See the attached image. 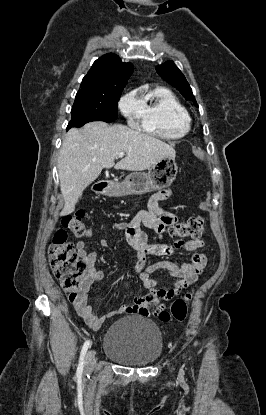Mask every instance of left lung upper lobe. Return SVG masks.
<instances>
[{
  "label": "left lung upper lobe",
  "mask_w": 266,
  "mask_h": 415,
  "mask_svg": "<svg viewBox=\"0 0 266 415\" xmlns=\"http://www.w3.org/2000/svg\"><path fill=\"white\" fill-rule=\"evenodd\" d=\"M156 71L166 82L171 84L177 90H179L186 100L193 101L198 107L195 97L192 93V89L187 82L183 73L176 67L172 61H167L164 64L158 65Z\"/></svg>",
  "instance_id": "5c2ea615"
}]
</instances>
